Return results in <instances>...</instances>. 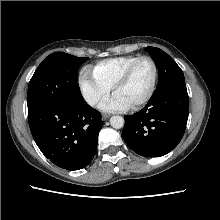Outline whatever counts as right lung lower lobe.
Instances as JSON below:
<instances>
[{
  "instance_id": "right-lung-lower-lobe-1",
  "label": "right lung lower lobe",
  "mask_w": 220,
  "mask_h": 220,
  "mask_svg": "<svg viewBox=\"0 0 220 220\" xmlns=\"http://www.w3.org/2000/svg\"><path fill=\"white\" fill-rule=\"evenodd\" d=\"M28 121L37 146L55 165L78 170L93 159L103 122L86 102L76 107L45 105L28 111Z\"/></svg>"
}]
</instances>
